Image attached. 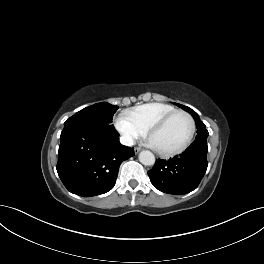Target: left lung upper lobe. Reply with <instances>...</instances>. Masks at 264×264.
Instances as JSON below:
<instances>
[{
  "label": "left lung upper lobe",
  "instance_id": "obj_1",
  "mask_svg": "<svg viewBox=\"0 0 264 264\" xmlns=\"http://www.w3.org/2000/svg\"><path fill=\"white\" fill-rule=\"evenodd\" d=\"M176 105L181 107L182 109H184L186 111H189L191 113V115L193 116V118L195 119L196 127H197V135H196L195 141L206 142L209 133L205 128L206 127L205 124L199 119L198 114L187 106L177 104V103H176Z\"/></svg>",
  "mask_w": 264,
  "mask_h": 264
}]
</instances>
